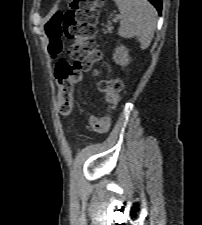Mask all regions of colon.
<instances>
[{
    "instance_id": "colon-1",
    "label": "colon",
    "mask_w": 202,
    "mask_h": 225,
    "mask_svg": "<svg viewBox=\"0 0 202 225\" xmlns=\"http://www.w3.org/2000/svg\"><path fill=\"white\" fill-rule=\"evenodd\" d=\"M101 4L102 0H73L65 10L56 12L45 25L49 53L53 58L60 56L63 38L74 41L69 49L70 59L60 60L56 66L58 112L61 115H69L73 110L74 84L81 72L103 60V53L94 41L97 12ZM100 89L110 108H114L120 101L122 83L117 79H107L100 83ZM88 122L93 131L105 134L110 127V116L89 115Z\"/></svg>"
}]
</instances>
